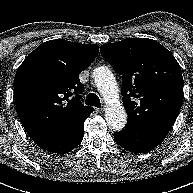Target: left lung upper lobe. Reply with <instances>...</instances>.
Returning a JSON list of instances; mask_svg holds the SVG:
<instances>
[{"label":"left lung upper lobe","mask_w":193,"mask_h":193,"mask_svg":"<svg viewBox=\"0 0 193 193\" xmlns=\"http://www.w3.org/2000/svg\"><path fill=\"white\" fill-rule=\"evenodd\" d=\"M100 52L123 77L127 126H172L182 105L184 82L171 52L147 38L104 44Z\"/></svg>","instance_id":"left-lung-upper-lobe-1"}]
</instances>
